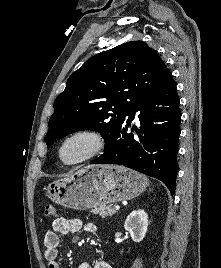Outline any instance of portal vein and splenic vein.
<instances>
[{
  "instance_id": "portal-vein-and-splenic-vein-1",
  "label": "portal vein and splenic vein",
  "mask_w": 221,
  "mask_h": 268,
  "mask_svg": "<svg viewBox=\"0 0 221 268\" xmlns=\"http://www.w3.org/2000/svg\"><path fill=\"white\" fill-rule=\"evenodd\" d=\"M120 209V206L119 205H116L115 206V210H119Z\"/></svg>"
}]
</instances>
